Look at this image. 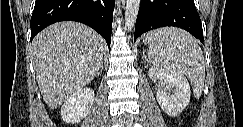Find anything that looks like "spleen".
Instances as JSON below:
<instances>
[{
  "instance_id": "obj_1",
  "label": "spleen",
  "mask_w": 243,
  "mask_h": 127,
  "mask_svg": "<svg viewBox=\"0 0 243 127\" xmlns=\"http://www.w3.org/2000/svg\"><path fill=\"white\" fill-rule=\"evenodd\" d=\"M145 44H150L148 60L157 69L185 74L193 92L200 97L205 80V61L201 48L193 36L178 28H164L148 33Z\"/></svg>"
}]
</instances>
